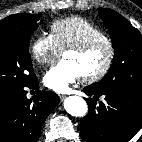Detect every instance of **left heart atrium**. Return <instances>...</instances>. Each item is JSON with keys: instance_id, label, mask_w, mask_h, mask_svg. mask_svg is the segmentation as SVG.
I'll use <instances>...</instances> for the list:
<instances>
[{"instance_id": "left-heart-atrium-1", "label": "left heart atrium", "mask_w": 142, "mask_h": 142, "mask_svg": "<svg viewBox=\"0 0 142 142\" xmlns=\"http://www.w3.org/2000/svg\"><path fill=\"white\" fill-rule=\"evenodd\" d=\"M81 77L76 65L72 61L64 59L45 73L43 81L48 88L63 93Z\"/></svg>"}]
</instances>
